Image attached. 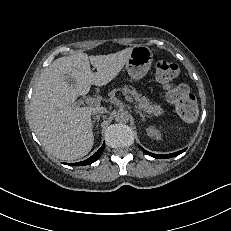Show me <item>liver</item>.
I'll list each match as a JSON object with an SVG mask.
<instances>
[{
	"label": "liver",
	"instance_id": "obj_1",
	"mask_svg": "<svg viewBox=\"0 0 231 231\" xmlns=\"http://www.w3.org/2000/svg\"><path fill=\"white\" fill-rule=\"evenodd\" d=\"M132 49L95 56L78 52L56 59L42 72L31 101V125L49 154L73 161L90 152L94 143L91 115L100 106L78 107L75 100L87 94L91 85L103 86L113 80ZM67 76L75 79L74 86Z\"/></svg>",
	"mask_w": 231,
	"mask_h": 231
}]
</instances>
